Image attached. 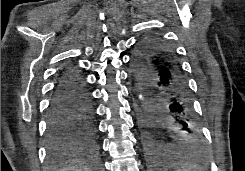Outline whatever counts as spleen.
<instances>
[{
	"mask_svg": "<svg viewBox=\"0 0 245 171\" xmlns=\"http://www.w3.org/2000/svg\"><path fill=\"white\" fill-rule=\"evenodd\" d=\"M176 171H203L202 167L192 162H185Z\"/></svg>",
	"mask_w": 245,
	"mask_h": 171,
	"instance_id": "1",
	"label": "spleen"
}]
</instances>
